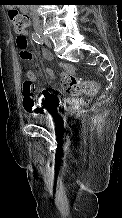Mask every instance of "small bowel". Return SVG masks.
<instances>
[{"mask_svg": "<svg viewBox=\"0 0 122 218\" xmlns=\"http://www.w3.org/2000/svg\"><path fill=\"white\" fill-rule=\"evenodd\" d=\"M29 33L28 31H24L22 32L18 37H22L24 38L26 41L28 39ZM30 58H34L32 55ZM60 68H61V78L65 79L67 77H72L73 74V68L71 65L67 64V63H60L59 64ZM45 74L48 76H52V71L50 69H46L45 70ZM29 78L34 82L36 80V76L33 72L29 73ZM94 83V82H93ZM96 85V83H94ZM97 87V85H96ZM53 98L52 94L47 91V90H41V95L39 97V99L36 101L35 99V104H36V114H43L47 111V107L50 104L51 99ZM25 102V97L23 99V104ZM71 104H76L77 101L76 100H69L68 101Z\"/></svg>", "mask_w": 122, "mask_h": 218, "instance_id": "1", "label": "small bowel"}]
</instances>
